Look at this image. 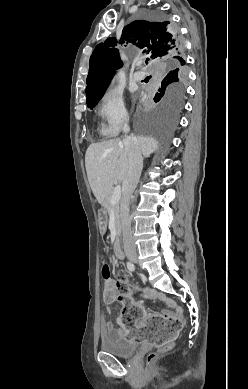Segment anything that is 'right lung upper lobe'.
<instances>
[{"mask_svg": "<svg viewBox=\"0 0 248 389\" xmlns=\"http://www.w3.org/2000/svg\"><path fill=\"white\" fill-rule=\"evenodd\" d=\"M170 30V22L133 21L125 26L119 40L121 44H133L146 54L150 62L163 69L173 63L185 64L183 47L176 48V40ZM117 40L109 38L94 49L89 61L86 79V97L106 88L116 69L120 68L119 51L114 46Z\"/></svg>", "mask_w": 248, "mask_h": 389, "instance_id": "obj_1", "label": "right lung upper lobe"}]
</instances>
